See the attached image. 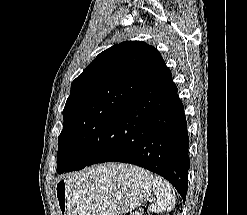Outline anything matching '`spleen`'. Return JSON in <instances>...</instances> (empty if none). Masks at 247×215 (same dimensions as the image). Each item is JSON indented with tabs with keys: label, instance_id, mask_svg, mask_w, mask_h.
Listing matches in <instances>:
<instances>
[{
	"label": "spleen",
	"instance_id": "obj_1",
	"mask_svg": "<svg viewBox=\"0 0 247 215\" xmlns=\"http://www.w3.org/2000/svg\"><path fill=\"white\" fill-rule=\"evenodd\" d=\"M153 192L157 198V202L149 206L150 211H170L175 206V192L168 181L156 176L153 180Z\"/></svg>",
	"mask_w": 247,
	"mask_h": 215
}]
</instances>
